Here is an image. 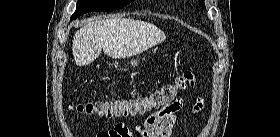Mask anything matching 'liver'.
Segmentation results:
<instances>
[{"instance_id": "1", "label": "liver", "mask_w": 280, "mask_h": 137, "mask_svg": "<svg viewBox=\"0 0 280 137\" xmlns=\"http://www.w3.org/2000/svg\"><path fill=\"white\" fill-rule=\"evenodd\" d=\"M157 26L129 18L87 22L72 41L77 66H85L99 57L102 49L112 58H125L142 53L165 40Z\"/></svg>"}]
</instances>
